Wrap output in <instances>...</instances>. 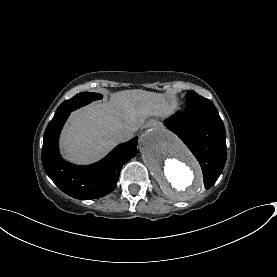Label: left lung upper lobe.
I'll list each match as a JSON object with an SVG mask.
<instances>
[{
    "mask_svg": "<svg viewBox=\"0 0 277 277\" xmlns=\"http://www.w3.org/2000/svg\"><path fill=\"white\" fill-rule=\"evenodd\" d=\"M187 107L184 112L181 113L187 116H203V115H215L219 116V113L213 103L194 91H189L187 94Z\"/></svg>",
    "mask_w": 277,
    "mask_h": 277,
    "instance_id": "5c2ea615",
    "label": "left lung upper lobe"
}]
</instances>
